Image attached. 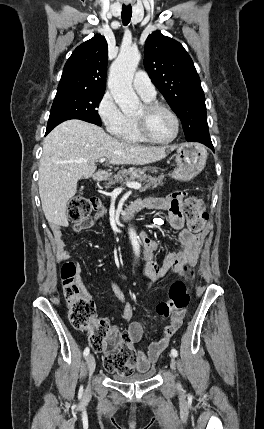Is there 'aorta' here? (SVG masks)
<instances>
[{
	"instance_id": "obj_1",
	"label": "aorta",
	"mask_w": 264,
	"mask_h": 429,
	"mask_svg": "<svg viewBox=\"0 0 264 429\" xmlns=\"http://www.w3.org/2000/svg\"><path fill=\"white\" fill-rule=\"evenodd\" d=\"M141 59L138 49L133 47L122 48L118 57L110 68L108 87L121 111L125 114L132 113L139 108L140 101L132 88L134 72ZM129 238L133 251L140 254V243L136 231L129 228Z\"/></svg>"
}]
</instances>
